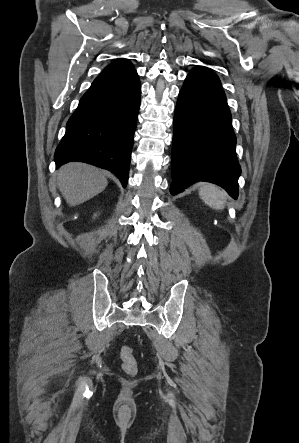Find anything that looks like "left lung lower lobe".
<instances>
[{
    "label": "left lung lower lobe",
    "mask_w": 299,
    "mask_h": 443,
    "mask_svg": "<svg viewBox=\"0 0 299 443\" xmlns=\"http://www.w3.org/2000/svg\"><path fill=\"white\" fill-rule=\"evenodd\" d=\"M172 195L197 181L215 183L238 197L241 168L231 113L218 76L198 66L179 93L173 124Z\"/></svg>",
    "instance_id": "obj_1"
}]
</instances>
